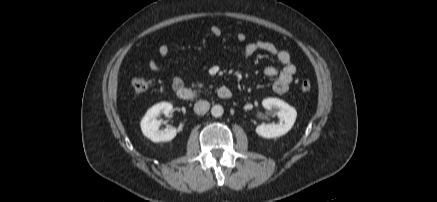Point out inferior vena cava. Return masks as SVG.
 Here are the masks:
<instances>
[{
	"instance_id": "1",
	"label": "inferior vena cava",
	"mask_w": 437,
	"mask_h": 202,
	"mask_svg": "<svg viewBox=\"0 0 437 202\" xmlns=\"http://www.w3.org/2000/svg\"><path fill=\"white\" fill-rule=\"evenodd\" d=\"M210 108V104L208 101H198L194 105V112L196 114L202 115L205 114Z\"/></svg>"
}]
</instances>
